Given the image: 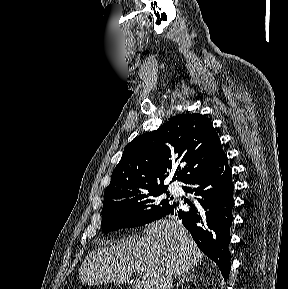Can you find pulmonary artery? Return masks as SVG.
Masks as SVG:
<instances>
[{
    "label": "pulmonary artery",
    "mask_w": 288,
    "mask_h": 289,
    "mask_svg": "<svg viewBox=\"0 0 288 289\" xmlns=\"http://www.w3.org/2000/svg\"><path fill=\"white\" fill-rule=\"evenodd\" d=\"M173 192H174V193H177V192H178L177 188H174V189H173Z\"/></svg>",
    "instance_id": "1"
}]
</instances>
